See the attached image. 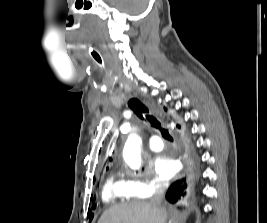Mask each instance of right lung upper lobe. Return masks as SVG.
Here are the masks:
<instances>
[{"mask_svg": "<svg viewBox=\"0 0 267 223\" xmlns=\"http://www.w3.org/2000/svg\"><path fill=\"white\" fill-rule=\"evenodd\" d=\"M177 128H179V129H180V128H181V126L177 124Z\"/></svg>", "mask_w": 267, "mask_h": 223, "instance_id": "cb5924a9", "label": "right lung upper lobe"}]
</instances>
